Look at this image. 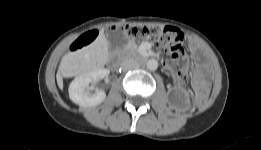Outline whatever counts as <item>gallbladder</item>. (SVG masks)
Returning <instances> with one entry per match:
<instances>
[{"instance_id": "gallbladder-1", "label": "gallbladder", "mask_w": 261, "mask_h": 150, "mask_svg": "<svg viewBox=\"0 0 261 150\" xmlns=\"http://www.w3.org/2000/svg\"><path fill=\"white\" fill-rule=\"evenodd\" d=\"M105 37L108 41L110 50H114L115 48H122L126 44L125 35L121 31L106 30Z\"/></svg>"}]
</instances>
